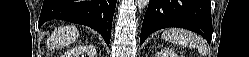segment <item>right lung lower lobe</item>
<instances>
[{
    "label": "right lung lower lobe",
    "mask_w": 249,
    "mask_h": 57,
    "mask_svg": "<svg viewBox=\"0 0 249 57\" xmlns=\"http://www.w3.org/2000/svg\"><path fill=\"white\" fill-rule=\"evenodd\" d=\"M116 0H44L39 27L53 19L87 25L109 45Z\"/></svg>",
    "instance_id": "1"
}]
</instances>
